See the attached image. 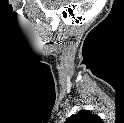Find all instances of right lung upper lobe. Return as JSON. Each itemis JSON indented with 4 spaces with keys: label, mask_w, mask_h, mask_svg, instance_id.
<instances>
[{
    "label": "right lung upper lobe",
    "mask_w": 124,
    "mask_h": 123,
    "mask_svg": "<svg viewBox=\"0 0 124 123\" xmlns=\"http://www.w3.org/2000/svg\"><path fill=\"white\" fill-rule=\"evenodd\" d=\"M100 121V117L92 114L89 110H80L77 114L71 115L65 123H95Z\"/></svg>",
    "instance_id": "cb5924a9"
}]
</instances>
